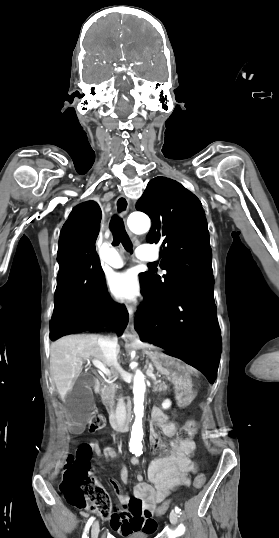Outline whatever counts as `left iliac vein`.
I'll return each mask as SVG.
<instances>
[{
	"label": "left iliac vein",
	"mask_w": 279,
	"mask_h": 538,
	"mask_svg": "<svg viewBox=\"0 0 279 538\" xmlns=\"http://www.w3.org/2000/svg\"><path fill=\"white\" fill-rule=\"evenodd\" d=\"M169 518H170V522H171L173 525H176V524H177V521H178V515H177V513H176L174 510H172V511L170 512V516H169Z\"/></svg>",
	"instance_id": "obj_1"
}]
</instances>
